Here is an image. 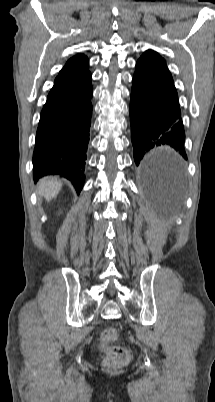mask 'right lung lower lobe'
Masks as SVG:
<instances>
[{
  "instance_id": "obj_1",
  "label": "right lung lower lobe",
  "mask_w": 215,
  "mask_h": 402,
  "mask_svg": "<svg viewBox=\"0 0 215 402\" xmlns=\"http://www.w3.org/2000/svg\"><path fill=\"white\" fill-rule=\"evenodd\" d=\"M92 94L90 74L76 87L47 97L36 133L34 180L60 175L70 180L80 193L85 179Z\"/></svg>"
}]
</instances>
